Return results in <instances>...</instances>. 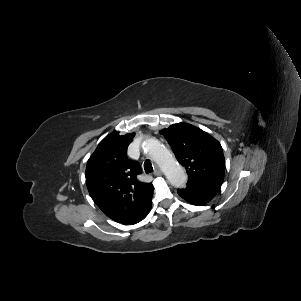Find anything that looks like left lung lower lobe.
<instances>
[{
  "label": "left lung lower lobe",
  "mask_w": 301,
  "mask_h": 301,
  "mask_svg": "<svg viewBox=\"0 0 301 301\" xmlns=\"http://www.w3.org/2000/svg\"><path fill=\"white\" fill-rule=\"evenodd\" d=\"M177 191L183 199L196 206H203L207 204L216 195L214 192L189 187L185 189H178Z\"/></svg>",
  "instance_id": "obj_1"
}]
</instances>
